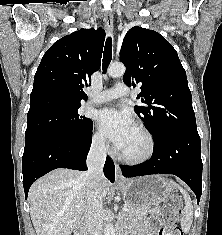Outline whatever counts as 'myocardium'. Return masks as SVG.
Returning <instances> with one entry per match:
<instances>
[{
  "instance_id": "f54148a6",
  "label": "myocardium",
  "mask_w": 222,
  "mask_h": 235,
  "mask_svg": "<svg viewBox=\"0 0 222 235\" xmlns=\"http://www.w3.org/2000/svg\"><path fill=\"white\" fill-rule=\"evenodd\" d=\"M135 127L143 133V135L146 137V139L148 141L147 152L145 154H143L142 156H138V157L127 156V155H124L119 152L118 158L121 161L129 163V164H142V163L149 161L153 157V155L155 154L156 140H155V137L152 134V132L145 125H143L141 123H136Z\"/></svg>"
}]
</instances>
